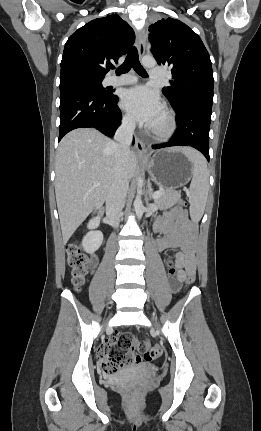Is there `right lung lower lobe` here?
Returning <instances> with one entry per match:
<instances>
[{"label": "right lung lower lobe", "instance_id": "1", "mask_svg": "<svg viewBox=\"0 0 261 431\" xmlns=\"http://www.w3.org/2000/svg\"><path fill=\"white\" fill-rule=\"evenodd\" d=\"M118 97L109 93L100 95L87 84L60 85L59 139L77 128H94L113 136L121 124Z\"/></svg>", "mask_w": 261, "mask_h": 431}]
</instances>
